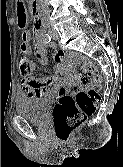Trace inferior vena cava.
I'll use <instances>...</instances> for the list:
<instances>
[{"label": "inferior vena cava", "instance_id": "obj_1", "mask_svg": "<svg viewBox=\"0 0 123 167\" xmlns=\"http://www.w3.org/2000/svg\"><path fill=\"white\" fill-rule=\"evenodd\" d=\"M38 1L40 3L41 9L43 10L44 14L48 16L50 14V11L48 8V4L46 3V0H38Z\"/></svg>", "mask_w": 123, "mask_h": 167}]
</instances>
